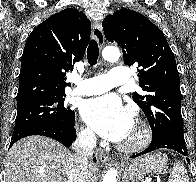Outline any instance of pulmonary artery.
I'll return each mask as SVG.
<instances>
[{"mask_svg":"<svg viewBox=\"0 0 196 182\" xmlns=\"http://www.w3.org/2000/svg\"><path fill=\"white\" fill-rule=\"evenodd\" d=\"M129 80V70L123 67H113L108 75H99L86 79L76 80L73 89L75 95H97L105 93L112 88L124 85Z\"/></svg>","mask_w":196,"mask_h":182,"instance_id":"obj_1","label":"pulmonary artery"}]
</instances>
